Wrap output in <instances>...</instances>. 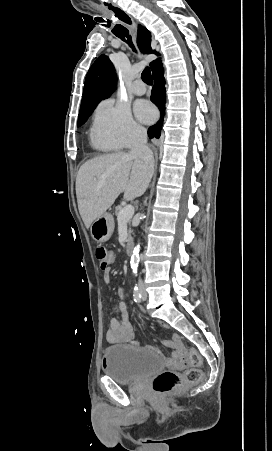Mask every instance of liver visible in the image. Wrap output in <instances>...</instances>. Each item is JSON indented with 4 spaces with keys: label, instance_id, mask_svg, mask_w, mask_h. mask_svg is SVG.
Masks as SVG:
<instances>
[{
    "label": "liver",
    "instance_id": "1",
    "mask_svg": "<svg viewBox=\"0 0 272 451\" xmlns=\"http://www.w3.org/2000/svg\"><path fill=\"white\" fill-rule=\"evenodd\" d=\"M152 164H146L132 154H103L81 166L76 178L78 210L86 227L102 216L119 194L124 200H134L146 192L153 174Z\"/></svg>",
    "mask_w": 272,
    "mask_h": 451
}]
</instances>
